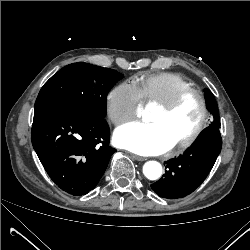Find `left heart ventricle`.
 I'll use <instances>...</instances> for the list:
<instances>
[{
	"label": "left heart ventricle",
	"instance_id": "1",
	"mask_svg": "<svg viewBox=\"0 0 250 250\" xmlns=\"http://www.w3.org/2000/svg\"><path fill=\"white\" fill-rule=\"evenodd\" d=\"M201 118V106L198 98L191 95L184 99L170 114L155 108L148 121L157 124L173 144L181 141L197 127Z\"/></svg>",
	"mask_w": 250,
	"mask_h": 250
}]
</instances>
